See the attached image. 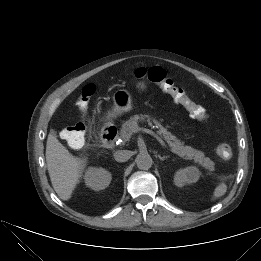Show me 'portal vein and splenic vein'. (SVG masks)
Wrapping results in <instances>:
<instances>
[{"mask_svg":"<svg viewBox=\"0 0 261 261\" xmlns=\"http://www.w3.org/2000/svg\"><path fill=\"white\" fill-rule=\"evenodd\" d=\"M140 131L152 135L164 148L169 149L168 146L165 144V142L156 133H154L152 130H149V129H146V128H138V127L133 129L134 133H138Z\"/></svg>","mask_w":261,"mask_h":261,"instance_id":"18ae733b","label":"portal vein and splenic vein"}]
</instances>
